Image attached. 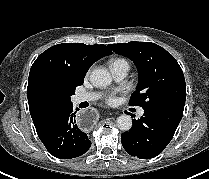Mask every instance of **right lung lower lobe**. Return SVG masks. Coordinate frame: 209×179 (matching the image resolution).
I'll list each match as a JSON object with an SVG mask.
<instances>
[{
	"mask_svg": "<svg viewBox=\"0 0 209 179\" xmlns=\"http://www.w3.org/2000/svg\"><path fill=\"white\" fill-rule=\"evenodd\" d=\"M75 114L70 102L35 125L40 140L48 152L57 158L70 159L81 156L91 146L87 134L76 124Z\"/></svg>",
	"mask_w": 209,
	"mask_h": 179,
	"instance_id": "right-lung-lower-lobe-1",
	"label": "right lung lower lobe"
}]
</instances>
